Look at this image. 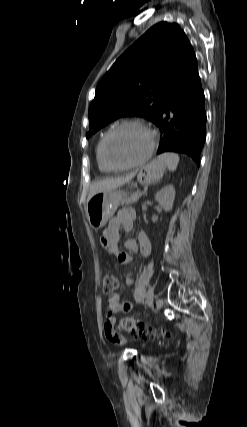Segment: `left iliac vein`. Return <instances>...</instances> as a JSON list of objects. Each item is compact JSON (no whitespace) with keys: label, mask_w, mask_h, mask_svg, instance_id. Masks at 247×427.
I'll list each match as a JSON object with an SVG mask.
<instances>
[{"label":"left iliac vein","mask_w":247,"mask_h":427,"mask_svg":"<svg viewBox=\"0 0 247 427\" xmlns=\"http://www.w3.org/2000/svg\"><path fill=\"white\" fill-rule=\"evenodd\" d=\"M163 304H164L163 300L161 298H158L156 300V311H159L162 308Z\"/></svg>","instance_id":"left-iliac-vein-1"}]
</instances>
